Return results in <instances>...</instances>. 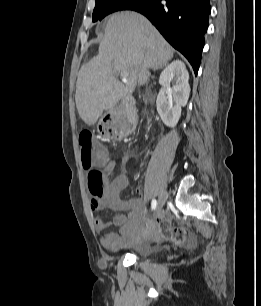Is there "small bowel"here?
<instances>
[{
  "instance_id": "1",
  "label": "small bowel",
  "mask_w": 261,
  "mask_h": 306,
  "mask_svg": "<svg viewBox=\"0 0 261 306\" xmlns=\"http://www.w3.org/2000/svg\"><path fill=\"white\" fill-rule=\"evenodd\" d=\"M102 161L104 162L106 174L111 176L118 163L106 159ZM127 161V158L122 159L120 162V166L123 169L122 172L106 183L103 198L100 200L91 199L90 201L92 211L108 208L117 213L112 222L102 217L94 218V226L98 232L104 231L110 225L119 228L117 232H107L101 238L102 245L109 250L126 248L133 245L136 240L135 234L138 225L143 217L145 199L140 190L137 191L138 196L136 198L125 200L121 197L122 190L128 184V177L124 172Z\"/></svg>"
}]
</instances>
